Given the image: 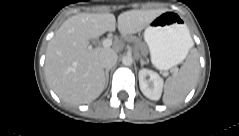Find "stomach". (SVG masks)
Here are the masks:
<instances>
[{"label": "stomach", "instance_id": "stomach-1", "mask_svg": "<svg viewBox=\"0 0 239 136\" xmlns=\"http://www.w3.org/2000/svg\"><path fill=\"white\" fill-rule=\"evenodd\" d=\"M188 34L187 25L176 12L166 11L153 19L144 32L153 65L168 70L181 63L191 48Z\"/></svg>", "mask_w": 239, "mask_h": 136}]
</instances>
